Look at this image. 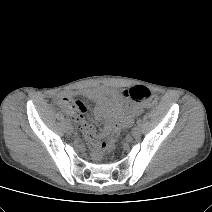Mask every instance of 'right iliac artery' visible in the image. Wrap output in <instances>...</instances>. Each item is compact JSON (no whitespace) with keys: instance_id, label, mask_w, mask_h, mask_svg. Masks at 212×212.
Masks as SVG:
<instances>
[{"instance_id":"1","label":"right iliac artery","mask_w":212,"mask_h":212,"mask_svg":"<svg viewBox=\"0 0 212 212\" xmlns=\"http://www.w3.org/2000/svg\"><path fill=\"white\" fill-rule=\"evenodd\" d=\"M66 123H67V124H70V121L67 119V120H66Z\"/></svg>"}]
</instances>
